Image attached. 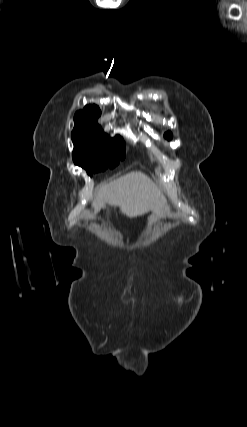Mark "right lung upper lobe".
Returning a JSON list of instances; mask_svg holds the SVG:
<instances>
[{"mask_svg": "<svg viewBox=\"0 0 247 427\" xmlns=\"http://www.w3.org/2000/svg\"><path fill=\"white\" fill-rule=\"evenodd\" d=\"M99 115L100 109L97 106L94 108L91 105H87L82 111L76 112L74 116L75 125L79 127L101 129L98 123L94 121V118L97 119Z\"/></svg>", "mask_w": 247, "mask_h": 427, "instance_id": "cb5924a9", "label": "right lung upper lobe"}]
</instances>
